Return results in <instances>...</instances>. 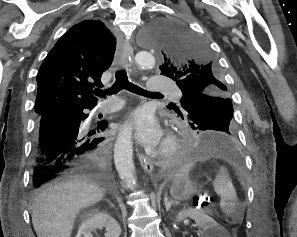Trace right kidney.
<instances>
[{"label": "right kidney", "mask_w": 297, "mask_h": 237, "mask_svg": "<svg viewBox=\"0 0 297 237\" xmlns=\"http://www.w3.org/2000/svg\"><path fill=\"white\" fill-rule=\"evenodd\" d=\"M106 229L105 237H119L121 228L118 222L107 212H95L84 221L78 231L77 237H93L95 229Z\"/></svg>", "instance_id": "1"}]
</instances>
